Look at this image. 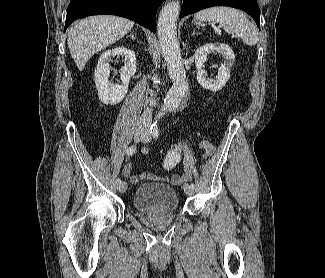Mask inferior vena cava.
<instances>
[{"label":"inferior vena cava","mask_w":325,"mask_h":278,"mask_svg":"<svg viewBox=\"0 0 325 278\" xmlns=\"http://www.w3.org/2000/svg\"><path fill=\"white\" fill-rule=\"evenodd\" d=\"M152 120V109L147 107V109L143 112L140 118L141 124H148Z\"/></svg>","instance_id":"obj_1"}]
</instances>
